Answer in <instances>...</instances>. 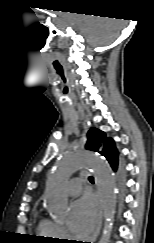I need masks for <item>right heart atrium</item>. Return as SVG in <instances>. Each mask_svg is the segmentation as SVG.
Segmentation results:
<instances>
[{"label":"right heart atrium","instance_id":"obj_1","mask_svg":"<svg viewBox=\"0 0 154 243\" xmlns=\"http://www.w3.org/2000/svg\"><path fill=\"white\" fill-rule=\"evenodd\" d=\"M58 235L61 238H67V237H69L66 229L64 227H62V226H58Z\"/></svg>","mask_w":154,"mask_h":243}]
</instances>
